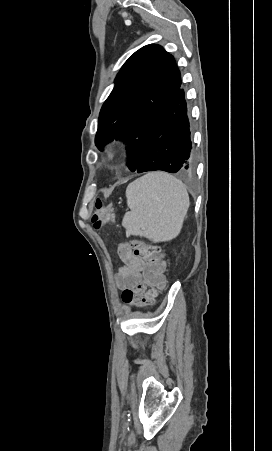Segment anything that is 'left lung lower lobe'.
<instances>
[{
    "label": "left lung lower lobe",
    "instance_id": "left-lung-lower-lobe-1",
    "mask_svg": "<svg viewBox=\"0 0 272 451\" xmlns=\"http://www.w3.org/2000/svg\"><path fill=\"white\" fill-rule=\"evenodd\" d=\"M184 90L180 88L160 114L136 171L184 172L194 166Z\"/></svg>",
    "mask_w": 272,
    "mask_h": 451
}]
</instances>
